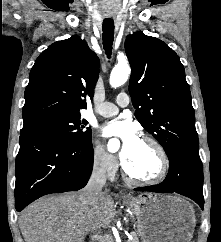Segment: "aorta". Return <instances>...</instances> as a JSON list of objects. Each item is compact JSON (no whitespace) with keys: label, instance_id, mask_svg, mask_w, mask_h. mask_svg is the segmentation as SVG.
<instances>
[{"label":"aorta","instance_id":"aorta-1","mask_svg":"<svg viewBox=\"0 0 221 242\" xmlns=\"http://www.w3.org/2000/svg\"><path fill=\"white\" fill-rule=\"evenodd\" d=\"M131 72L130 66L127 63H121L116 65L111 74L109 83L113 88H117L128 80L129 74ZM119 146V142L116 139H112L109 142V148H117Z\"/></svg>","mask_w":221,"mask_h":242}]
</instances>
